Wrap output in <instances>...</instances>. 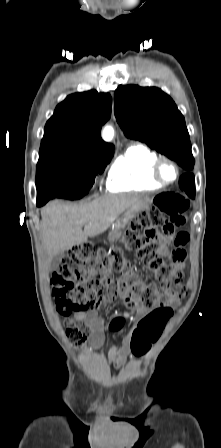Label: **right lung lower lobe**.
Returning <instances> with one entry per match:
<instances>
[{
    "mask_svg": "<svg viewBox=\"0 0 221 448\" xmlns=\"http://www.w3.org/2000/svg\"><path fill=\"white\" fill-rule=\"evenodd\" d=\"M50 200L49 198H37V206H43L46 202Z\"/></svg>",
    "mask_w": 221,
    "mask_h": 448,
    "instance_id": "98d812e1",
    "label": "right lung lower lobe"
}]
</instances>
